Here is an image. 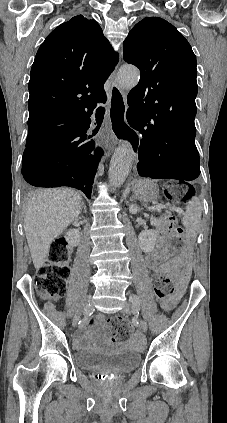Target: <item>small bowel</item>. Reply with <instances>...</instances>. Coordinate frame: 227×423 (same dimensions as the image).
Instances as JSON below:
<instances>
[{"instance_id":"1","label":"small bowel","mask_w":227,"mask_h":423,"mask_svg":"<svg viewBox=\"0 0 227 423\" xmlns=\"http://www.w3.org/2000/svg\"><path fill=\"white\" fill-rule=\"evenodd\" d=\"M164 252L165 250L162 244H159L154 251L149 253L145 259L148 268L152 269L157 274L173 273L181 283L186 281L189 275L187 255L184 254L165 262ZM178 298L179 295H175L171 299L164 300L162 302L163 309L166 311L173 309L178 301ZM103 321L104 317L102 315L89 319L86 325L76 333L74 338L75 345L77 347H84L90 337L92 327L96 324L103 323ZM140 339V336H136L133 341L138 342Z\"/></svg>"}]
</instances>
